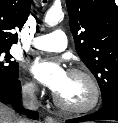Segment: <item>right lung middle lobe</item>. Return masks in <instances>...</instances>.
<instances>
[{
  "label": "right lung middle lobe",
  "instance_id": "obj_1",
  "mask_svg": "<svg viewBox=\"0 0 118 123\" xmlns=\"http://www.w3.org/2000/svg\"><path fill=\"white\" fill-rule=\"evenodd\" d=\"M10 48H0V81H15L19 76L18 64L12 61Z\"/></svg>",
  "mask_w": 118,
  "mask_h": 123
}]
</instances>
